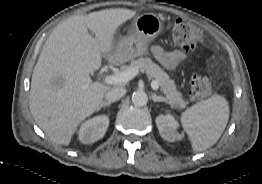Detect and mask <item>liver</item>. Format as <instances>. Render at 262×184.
I'll list each match as a JSON object with an SVG mask.
<instances>
[{
    "label": "liver",
    "instance_id": "liver-1",
    "mask_svg": "<svg viewBox=\"0 0 262 184\" xmlns=\"http://www.w3.org/2000/svg\"><path fill=\"white\" fill-rule=\"evenodd\" d=\"M135 14L118 8L71 16L44 43L32 74L29 106L37 125L56 144L69 145L79 124L98 110L111 89L92 82L89 74L101 67L102 55L114 56L115 33Z\"/></svg>",
    "mask_w": 262,
    "mask_h": 184
}]
</instances>
